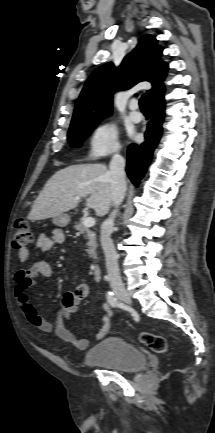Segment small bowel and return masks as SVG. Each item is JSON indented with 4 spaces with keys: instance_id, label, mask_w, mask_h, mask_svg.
I'll use <instances>...</instances> for the list:
<instances>
[{
    "instance_id": "c3829d8e",
    "label": "small bowel",
    "mask_w": 215,
    "mask_h": 433,
    "mask_svg": "<svg viewBox=\"0 0 215 433\" xmlns=\"http://www.w3.org/2000/svg\"><path fill=\"white\" fill-rule=\"evenodd\" d=\"M64 239V233L60 229H55L51 233H41L37 238L36 248L47 252L51 250L55 244L63 243ZM30 258L31 251L28 248L19 250V259L22 262H27ZM52 275L53 272L50 263L45 259L36 261L30 267L19 269L14 276V295L18 308L24 318L35 328L43 332L54 333L59 339L75 346L77 349L86 350L89 347L90 341L85 338H77L64 326V320H69L78 312L80 303L88 295V285L85 282L78 283L73 290L64 294L62 298V308L56 311L53 323L39 315L37 310L29 302L28 289L36 285L38 279L49 281ZM101 310V327L95 335V340L102 339L110 330L111 308L107 303H103Z\"/></svg>"
}]
</instances>
